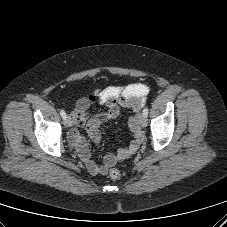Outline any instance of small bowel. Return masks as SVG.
<instances>
[{"label": "small bowel", "instance_id": "obj_1", "mask_svg": "<svg viewBox=\"0 0 227 227\" xmlns=\"http://www.w3.org/2000/svg\"><path fill=\"white\" fill-rule=\"evenodd\" d=\"M147 92V86L142 83L131 84L124 88L111 86L96 90L89 97H83L77 101L75 111L73 112L74 122L77 126L84 127L89 138L95 144H99L101 140L100 125L105 121L117 118L121 106L132 108L135 111L140 110L146 101ZM92 104L104 105L107 110L104 113L90 117L88 110ZM128 126L133 135L129 145L107 154L102 164H98L90 159L89 146L82 133L77 128L70 132L69 139L91 174H106L108 168L114 166L118 161L128 158L138 150L144 136L139 128L137 119L131 117Z\"/></svg>", "mask_w": 227, "mask_h": 227}]
</instances>
